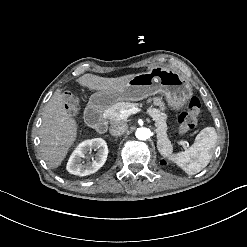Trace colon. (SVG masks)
Wrapping results in <instances>:
<instances>
[{
  "label": "colon",
  "instance_id": "1",
  "mask_svg": "<svg viewBox=\"0 0 247 247\" xmlns=\"http://www.w3.org/2000/svg\"><path fill=\"white\" fill-rule=\"evenodd\" d=\"M66 107L70 112L75 113L76 112V105L71 101L70 96L66 95ZM201 110V102L200 100L192 96L189 100L188 103V110L187 112H183L178 116V124L182 128H191L194 126L196 123L199 113ZM179 135L180 136H185L186 135V130L185 129H180L179 130Z\"/></svg>",
  "mask_w": 247,
  "mask_h": 247
}]
</instances>
